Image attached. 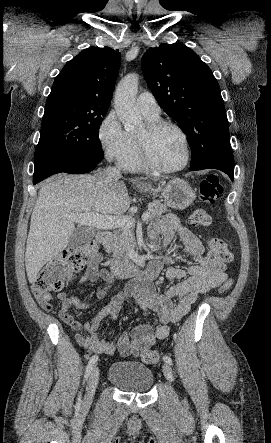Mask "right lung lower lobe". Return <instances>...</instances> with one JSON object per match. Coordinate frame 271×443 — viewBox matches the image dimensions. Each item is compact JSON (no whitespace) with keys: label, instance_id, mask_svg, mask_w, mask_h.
<instances>
[{"label":"right lung lower lobe","instance_id":"98d812e1","mask_svg":"<svg viewBox=\"0 0 271 443\" xmlns=\"http://www.w3.org/2000/svg\"><path fill=\"white\" fill-rule=\"evenodd\" d=\"M102 159L94 155H72L67 153L53 154L41 162L34 164L33 184H37L45 178L61 173L81 174L92 171Z\"/></svg>","mask_w":271,"mask_h":443}]
</instances>
